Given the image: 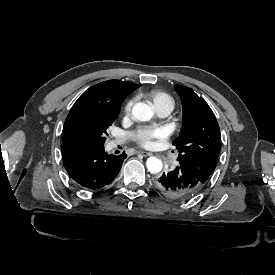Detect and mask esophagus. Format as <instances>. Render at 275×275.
<instances>
[{"label":"esophagus","instance_id":"obj_1","mask_svg":"<svg viewBox=\"0 0 275 275\" xmlns=\"http://www.w3.org/2000/svg\"><path fill=\"white\" fill-rule=\"evenodd\" d=\"M137 154H141V155H143V156H149V155H151L152 153H150V152H146V151H137Z\"/></svg>","mask_w":275,"mask_h":275}]
</instances>
